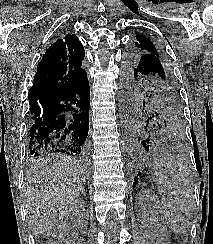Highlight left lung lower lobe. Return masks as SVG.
<instances>
[{
    "mask_svg": "<svg viewBox=\"0 0 213 244\" xmlns=\"http://www.w3.org/2000/svg\"><path fill=\"white\" fill-rule=\"evenodd\" d=\"M122 115L126 147L133 156L151 151L164 138L156 124L142 118L133 109L124 107Z\"/></svg>",
    "mask_w": 213,
    "mask_h": 244,
    "instance_id": "0a47b994",
    "label": "left lung lower lobe"
}]
</instances>
